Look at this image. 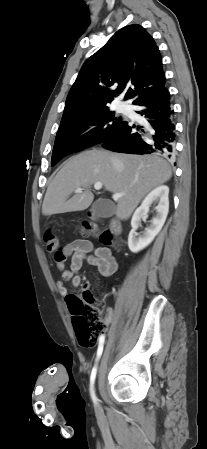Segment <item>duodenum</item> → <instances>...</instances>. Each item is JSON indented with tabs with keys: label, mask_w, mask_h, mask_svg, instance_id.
<instances>
[{
	"label": "duodenum",
	"mask_w": 207,
	"mask_h": 449,
	"mask_svg": "<svg viewBox=\"0 0 207 449\" xmlns=\"http://www.w3.org/2000/svg\"><path fill=\"white\" fill-rule=\"evenodd\" d=\"M121 223L118 220H112L110 223V230L114 234H120L121 232Z\"/></svg>",
	"instance_id": "duodenum-1"
}]
</instances>
